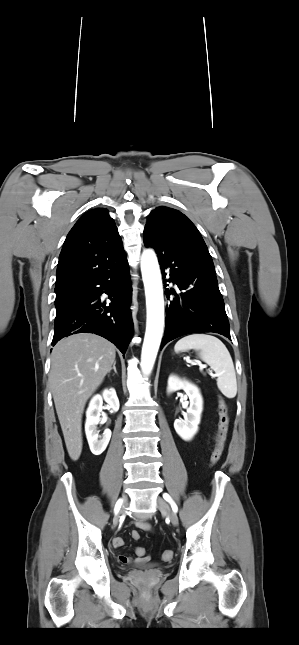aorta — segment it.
<instances>
[{
	"label": "aorta",
	"instance_id": "obj_1",
	"mask_svg": "<svg viewBox=\"0 0 299 645\" xmlns=\"http://www.w3.org/2000/svg\"><path fill=\"white\" fill-rule=\"evenodd\" d=\"M141 272L147 308L141 368L144 374L149 375L155 363L164 327V298L161 272L156 254L151 249H147L142 253Z\"/></svg>",
	"mask_w": 299,
	"mask_h": 645
}]
</instances>
